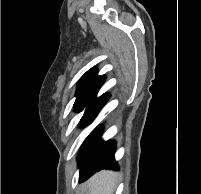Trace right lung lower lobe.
Segmentation results:
<instances>
[{"instance_id": "98d812e1", "label": "right lung lower lobe", "mask_w": 201, "mask_h": 194, "mask_svg": "<svg viewBox=\"0 0 201 194\" xmlns=\"http://www.w3.org/2000/svg\"><path fill=\"white\" fill-rule=\"evenodd\" d=\"M109 96V94H105L93 103L88 104L85 114L81 119V126H85L94 120ZM101 135L102 126L96 128L83 143L78 155V162L80 163V181L86 180L100 169L111 168L116 165L114 159L116 149L115 142H104L101 140Z\"/></svg>"}]
</instances>
